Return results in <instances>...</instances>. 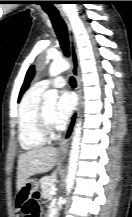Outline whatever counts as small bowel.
<instances>
[{
    "label": "small bowel",
    "mask_w": 132,
    "mask_h": 217,
    "mask_svg": "<svg viewBox=\"0 0 132 217\" xmlns=\"http://www.w3.org/2000/svg\"><path fill=\"white\" fill-rule=\"evenodd\" d=\"M25 204L26 201H24L21 205V217H28V214L25 212Z\"/></svg>",
    "instance_id": "c3829d8e"
}]
</instances>
